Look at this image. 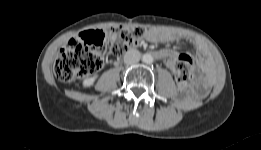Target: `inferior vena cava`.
I'll return each instance as SVG.
<instances>
[{
  "label": "inferior vena cava",
  "instance_id": "obj_1",
  "mask_svg": "<svg viewBox=\"0 0 261 150\" xmlns=\"http://www.w3.org/2000/svg\"><path fill=\"white\" fill-rule=\"evenodd\" d=\"M141 54L136 49L128 50L124 55V63L128 65L136 64L139 62Z\"/></svg>",
  "mask_w": 261,
  "mask_h": 150
}]
</instances>
